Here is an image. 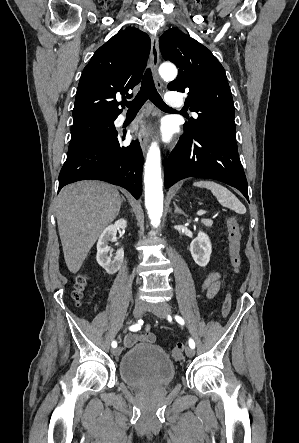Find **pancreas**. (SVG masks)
I'll return each mask as SVG.
<instances>
[{
  "instance_id": "pancreas-1",
  "label": "pancreas",
  "mask_w": 299,
  "mask_h": 443,
  "mask_svg": "<svg viewBox=\"0 0 299 443\" xmlns=\"http://www.w3.org/2000/svg\"><path fill=\"white\" fill-rule=\"evenodd\" d=\"M201 222L207 227H211L213 224V221L211 219H202Z\"/></svg>"
}]
</instances>
